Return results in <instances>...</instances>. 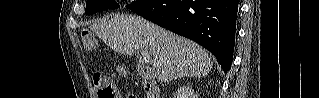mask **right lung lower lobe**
<instances>
[{"instance_id":"obj_1","label":"right lung lower lobe","mask_w":319,"mask_h":98,"mask_svg":"<svg viewBox=\"0 0 319 98\" xmlns=\"http://www.w3.org/2000/svg\"><path fill=\"white\" fill-rule=\"evenodd\" d=\"M209 50L224 72L232 64L238 0H151L132 9Z\"/></svg>"}]
</instances>
